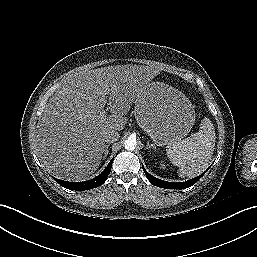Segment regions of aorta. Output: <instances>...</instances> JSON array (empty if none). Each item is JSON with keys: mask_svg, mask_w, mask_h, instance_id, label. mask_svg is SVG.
I'll use <instances>...</instances> for the list:
<instances>
[{"mask_svg": "<svg viewBox=\"0 0 257 257\" xmlns=\"http://www.w3.org/2000/svg\"><path fill=\"white\" fill-rule=\"evenodd\" d=\"M137 146V141L135 137H129L127 140L124 142V147L128 151H133Z\"/></svg>", "mask_w": 257, "mask_h": 257, "instance_id": "762f6f07", "label": "aorta"}]
</instances>
